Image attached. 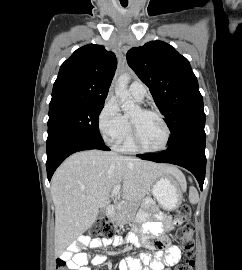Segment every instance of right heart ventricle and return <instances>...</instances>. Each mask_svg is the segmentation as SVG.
Here are the masks:
<instances>
[{
    "label": "right heart ventricle",
    "instance_id": "obj_1",
    "mask_svg": "<svg viewBox=\"0 0 242 270\" xmlns=\"http://www.w3.org/2000/svg\"><path fill=\"white\" fill-rule=\"evenodd\" d=\"M125 121H126V130L117 144V148L121 152H135V148L132 144L131 140V126H130V118L129 116H125Z\"/></svg>",
    "mask_w": 242,
    "mask_h": 270
}]
</instances>
